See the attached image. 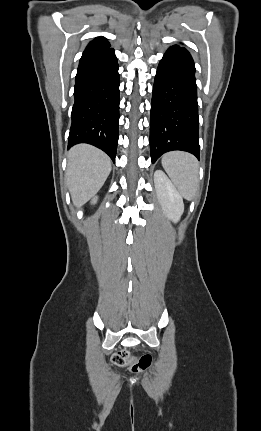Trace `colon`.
I'll return each mask as SVG.
<instances>
[{"instance_id":"1","label":"colon","mask_w":261,"mask_h":431,"mask_svg":"<svg viewBox=\"0 0 261 431\" xmlns=\"http://www.w3.org/2000/svg\"><path fill=\"white\" fill-rule=\"evenodd\" d=\"M111 360L114 365L119 367H123L130 364L131 370L133 372L144 371L151 364L150 355H143L138 360L132 361L130 358V354L127 350H121L119 352H116L112 356Z\"/></svg>"}]
</instances>
